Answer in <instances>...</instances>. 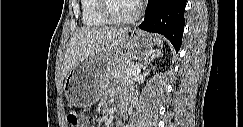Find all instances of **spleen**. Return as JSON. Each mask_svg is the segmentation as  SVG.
<instances>
[{"mask_svg": "<svg viewBox=\"0 0 243 127\" xmlns=\"http://www.w3.org/2000/svg\"><path fill=\"white\" fill-rule=\"evenodd\" d=\"M154 42L157 44V46L163 47V42H162V40L160 38L156 37L154 39Z\"/></svg>", "mask_w": 243, "mask_h": 127, "instance_id": "3e777b00", "label": "spleen"}]
</instances>
